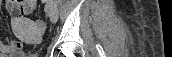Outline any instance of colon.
<instances>
[{
  "label": "colon",
  "instance_id": "colon-1",
  "mask_svg": "<svg viewBox=\"0 0 172 57\" xmlns=\"http://www.w3.org/2000/svg\"><path fill=\"white\" fill-rule=\"evenodd\" d=\"M15 14H16V11H15V10L11 12V15L14 16ZM37 24H38L39 26H41V27H43V26L45 25V23H44L42 20H38V21H37Z\"/></svg>",
  "mask_w": 172,
  "mask_h": 57
}]
</instances>
